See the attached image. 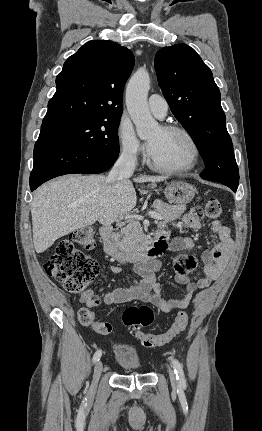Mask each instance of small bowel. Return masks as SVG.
Instances as JSON below:
<instances>
[{
    "mask_svg": "<svg viewBox=\"0 0 262 431\" xmlns=\"http://www.w3.org/2000/svg\"><path fill=\"white\" fill-rule=\"evenodd\" d=\"M181 223L191 231H199L201 229V211L199 209L191 210L182 217ZM211 228L218 241L211 249L201 253L202 273L190 276L195 268V260L192 255L183 254L174 261L175 281L184 286V292L180 296L168 298L165 295L162 286L157 282V273L161 269V263L155 257H147L134 267L136 274L141 278L140 282L128 288H116L108 291L104 295V303L117 305L142 301L154 305L163 312L187 308L197 291L209 287L221 277L230 258L232 248L230 229L219 221H213ZM172 232L173 229L160 224L157 236L161 240H165ZM164 246L165 244H163V248ZM194 246L195 242L191 236L175 237L171 243L173 250L182 253L192 252ZM110 272L112 275H118L121 273V268L113 264L110 266ZM75 299L84 305L82 310H87L94 316L92 309L97 306L100 300L94 289L85 290ZM94 330L100 333L97 329Z\"/></svg>",
    "mask_w": 262,
    "mask_h": 431,
    "instance_id": "c3829d8e",
    "label": "small bowel"
}]
</instances>
